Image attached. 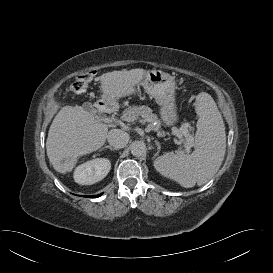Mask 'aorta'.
Here are the masks:
<instances>
[{
    "instance_id": "1",
    "label": "aorta",
    "mask_w": 273,
    "mask_h": 273,
    "mask_svg": "<svg viewBox=\"0 0 273 273\" xmlns=\"http://www.w3.org/2000/svg\"><path fill=\"white\" fill-rule=\"evenodd\" d=\"M130 150L133 156L140 157L146 153V145L142 141H134L130 145Z\"/></svg>"
}]
</instances>
